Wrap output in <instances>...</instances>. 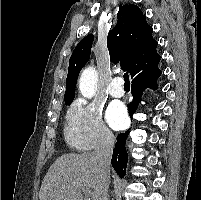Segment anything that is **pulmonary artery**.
Wrapping results in <instances>:
<instances>
[{
  "instance_id": "e3ab8cb5",
  "label": "pulmonary artery",
  "mask_w": 201,
  "mask_h": 200,
  "mask_svg": "<svg viewBox=\"0 0 201 200\" xmlns=\"http://www.w3.org/2000/svg\"><path fill=\"white\" fill-rule=\"evenodd\" d=\"M123 80L120 76L113 78L111 85L109 86V93L112 97L120 98L124 95Z\"/></svg>"
}]
</instances>
